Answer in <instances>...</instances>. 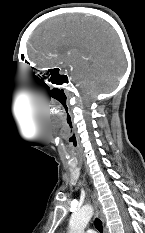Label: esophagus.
Here are the masks:
<instances>
[{
	"instance_id": "34e87169",
	"label": "esophagus",
	"mask_w": 145,
	"mask_h": 233,
	"mask_svg": "<svg viewBox=\"0 0 145 233\" xmlns=\"http://www.w3.org/2000/svg\"><path fill=\"white\" fill-rule=\"evenodd\" d=\"M92 200H93V203H94V206H95L96 213H97L98 217L104 222L102 206H101V203H100V201L98 199V195L94 190L92 191ZM103 233H108L106 227H104Z\"/></svg>"
}]
</instances>
